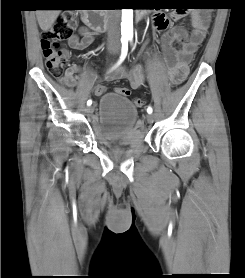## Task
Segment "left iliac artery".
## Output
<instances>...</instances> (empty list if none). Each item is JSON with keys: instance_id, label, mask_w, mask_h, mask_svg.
Wrapping results in <instances>:
<instances>
[{"instance_id": "obj_1", "label": "left iliac artery", "mask_w": 245, "mask_h": 278, "mask_svg": "<svg viewBox=\"0 0 245 278\" xmlns=\"http://www.w3.org/2000/svg\"><path fill=\"white\" fill-rule=\"evenodd\" d=\"M130 40H131V38H130ZM152 111H153V110H152V108H151V107H148V108H147V112H148L149 114H151V113H152Z\"/></svg>"}]
</instances>
